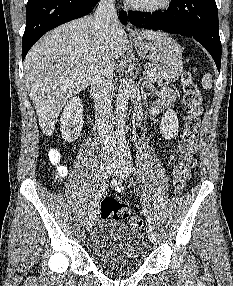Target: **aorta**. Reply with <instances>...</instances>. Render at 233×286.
<instances>
[{"label": "aorta", "instance_id": "aorta-1", "mask_svg": "<svg viewBox=\"0 0 233 286\" xmlns=\"http://www.w3.org/2000/svg\"><path fill=\"white\" fill-rule=\"evenodd\" d=\"M129 100V81L128 78H123L120 80L118 95L116 99V125L118 132V139L124 140V126L125 117L128 109Z\"/></svg>", "mask_w": 233, "mask_h": 286}]
</instances>
